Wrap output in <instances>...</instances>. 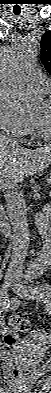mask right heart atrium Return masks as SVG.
<instances>
[{"instance_id": "d8ad5b80", "label": "right heart atrium", "mask_w": 51, "mask_h": 393, "mask_svg": "<svg viewBox=\"0 0 51 393\" xmlns=\"http://www.w3.org/2000/svg\"><path fill=\"white\" fill-rule=\"evenodd\" d=\"M0 129L12 137H26L30 133V119L17 112L6 99L0 98Z\"/></svg>"}]
</instances>
